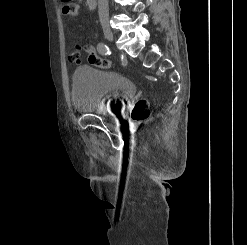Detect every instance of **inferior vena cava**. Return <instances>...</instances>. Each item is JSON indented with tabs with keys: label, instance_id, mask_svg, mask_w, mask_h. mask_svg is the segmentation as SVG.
I'll use <instances>...</instances> for the list:
<instances>
[{
	"label": "inferior vena cava",
	"instance_id": "602c4592",
	"mask_svg": "<svg viewBox=\"0 0 247 245\" xmlns=\"http://www.w3.org/2000/svg\"><path fill=\"white\" fill-rule=\"evenodd\" d=\"M98 13L102 27H108V22H109L108 0H98Z\"/></svg>",
	"mask_w": 247,
	"mask_h": 245
}]
</instances>
